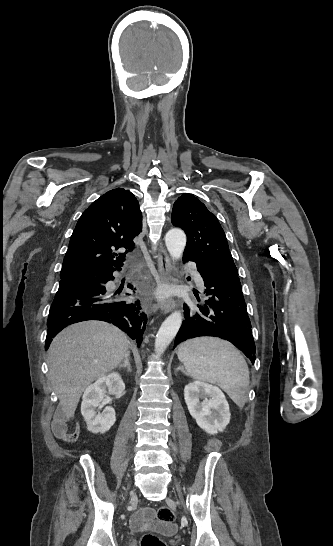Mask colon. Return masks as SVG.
Returning a JSON list of instances; mask_svg holds the SVG:
<instances>
[{"mask_svg": "<svg viewBox=\"0 0 333 546\" xmlns=\"http://www.w3.org/2000/svg\"><path fill=\"white\" fill-rule=\"evenodd\" d=\"M157 518L164 524H171L175 521V515L172 509L166 506L157 509ZM141 546H165L163 541L153 534H145L140 541Z\"/></svg>", "mask_w": 333, "mask_h": 546, "instance_id": "obj_1", "label": "colon"}]
</instances>
